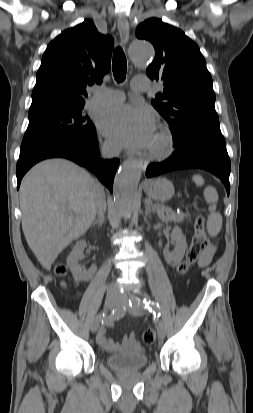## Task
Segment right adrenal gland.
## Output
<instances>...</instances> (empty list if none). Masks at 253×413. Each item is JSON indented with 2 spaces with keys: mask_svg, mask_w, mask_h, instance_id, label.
I'll return each instance as SVG.
<instances>
[{
  "mask_svg": "<svg viewBox=\"0 0 253 413\" xmlns=\"http://www.w3.org/2000/svg\"><path fill=\"white\" fill-rule=\"evenodd\" d=\"M104 223V217L102 216L101 218L97 219L94 221L93 225L98 224L99 226H102Z\"/></svg>",
  "mask_w": 253,
  "mask_h": 413,
  "instance_id": "right-adrenal-gland-1",
  "label": "right adrenal gland"
}]
</instances>
